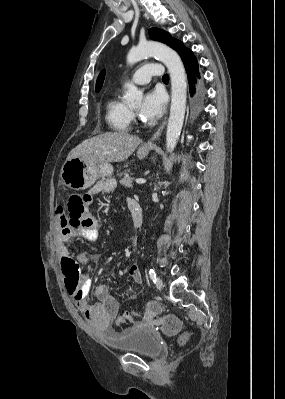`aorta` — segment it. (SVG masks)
<instances>
[{
	"label": "aorta",
	"instance_id": "obj_1",
	"mask_svg": "<svg viewBox=\"0 0 285 399\" xmlns=\"http://www.w3.org/2000/svg\"><path fill=\"white\" fill-rule=\"evenodd\" d=\"M156 56L162 61L171 78V108L166 132V150L173 152L184 122L186 108V73L180 56L170 47L154 41L138 44L130 49L127 63L133 65L143 59ZM127 91L124 101L129 105H138L142 100V92L132 83L125 84Z\"/></svg>",
	"mask_w": 285,
	"mask_h": 399
}]
</instances>
